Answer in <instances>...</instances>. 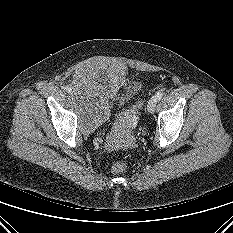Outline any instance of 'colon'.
Instances as JSON below:
<instances>
[{
	"instance_id": "colon-1",
	"label": "colon",
	"mask_w": 233,
	"mask_h": 233,
	"mask_svg": "<svg viewBox=\"0 0 233 233\" xmlns=\"http://www.w3.org/2000/svg\"><path fill=\"white\" fill-rule=\"evenodd\" d=\"M128 168L127 163L125 162H116L112 165L111 171L114 174H122L124 173Z\"/></svg>"
}]
</instances>
